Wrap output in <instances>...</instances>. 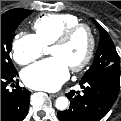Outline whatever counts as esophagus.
I'll return each mask as SVG.
<instances>
[{"label":"esophagus","instance_id":"1","mask_svg":"<svg viewBox=\"0 0 121 121\" xmlns=\"http://www.w3.org/2000/svg\"><path fill=\"white\" fill-rule=\"evenodd\" d=\"M50 96L55 98V97L59 96V93L50 94Z\"/></svg>","mask_w":121,"mask_h":121}]
</instances>
